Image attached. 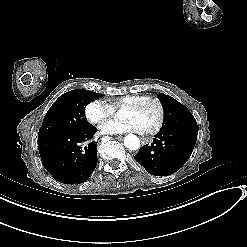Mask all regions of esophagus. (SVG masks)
Returning <instances> with one entry per match:
<instances>
[{
    "instance_id": "esophagus-1",
    "label": "esophagus",
    "mask_w": 247,
    "mask_h": 247,
    "mask_svg": "<svg viewBox=\"0 0 247 247\" xmlns=\"http://www.w3.org/2000/svg\"><path fill=\"white\" fill-rule=\"evenodd\" d=\"M142 145H146L147 141L144 138H141Z\"/></svg>"
}]
</instances>
